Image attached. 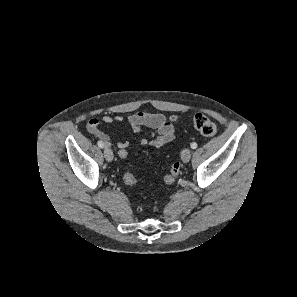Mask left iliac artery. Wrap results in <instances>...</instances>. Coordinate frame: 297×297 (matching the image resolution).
<instances>
[{
  "mask_svg": "<svg viewBox=\"0 0 297 297\" xmlns=\"http://www.w3.org/2000/svg\"><path fill=\"white\" fill-rule=\"evenodd\" d=\"M190 147L192 149H196L197 148V143L196 142H192L191 145H190Z\"/></svg>",
  "mask_w": 297,
  "mask_h": 297,
  "instance_id": "left-iliac-artery-1",
  "label": "left iliac artery"
}]
</instances>
